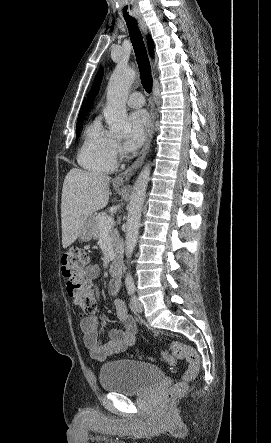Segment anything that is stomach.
<instances>
[{"label": "stomach", "instance_id": "0dacf381", "mask_svg": "<svg viewBox=\"0 0 271 443\" xmlns=\"http://www.w3.org/2000/svg\"><path fill=\"white\" fill-rule=\"evenodd\" d=\"M93 223H94V220H93L92 216H89V218H87L86 222L83 223L81 235H79L81 241H90V239H92L93 233H94Z\"/></svg>", "mask_w": 271, "mask_h": 443}]
</instances>
